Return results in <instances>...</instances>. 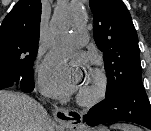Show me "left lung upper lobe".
<instances>
[{
	"instance_id": "5c2ea615",
	"label": "left lung upper lobe",
	"mask_w": 151,
	"mask_h": 131,
	"mask_svg": "<svg viewBox=\"0 0 151 131\" xmlns=\"http://www.w3.org/2000/svg\"><path fill=\"white\" fill-rule=\"evenodd\" d=\"M94 40L103 52L109 96L132 80H142L137 33L122 0H89Z\"/></svg>"
}]
</instances>
